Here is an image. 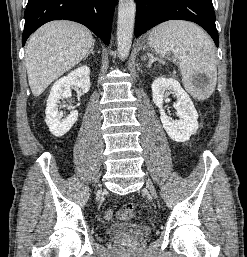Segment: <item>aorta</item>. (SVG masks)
<instances>
[{"mask_svg":"<svg viewBox=\"0 0 247 257\" xmlns=\"http://www.w3.org/2000/svg\"><path fill=\"white\" fill-rule=\"evenodd\" d=\"M136 4L134 0H119L117 21V51L120 59L127 58L130 52Z\"/></svg>","mask_w":247,"mask_h":257,"instance_id":"obj_1","label":"aorta"}]
</instances>
